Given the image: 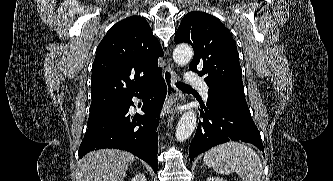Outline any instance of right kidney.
<instances>
[{
    "mask_svg": "<svg viewBox=\"0 0 333 181\" xmlns=\"http://www.w3.org/2000/svg\"><path fill=\"white\" fill-rule=\"evenodd\" d=\"M131 181H146L144 174H137Z\"/></svg>",
    "mask_w": 333,
    "mask_h": 181,
    "instance_id": "1",
    "label": "right kidney"
}]
</instances>
